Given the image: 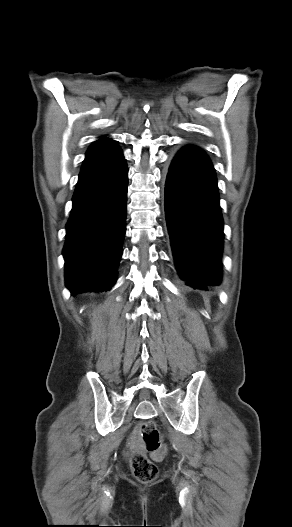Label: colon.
I'll list each match as a JSON object with an SVG mask.
<instances>
[{"label":"colon","instance_id":"1","mask_svg":"<svg viewBox=\"0 0 292 527\" xmlns=\"http://www.w3.org/2000/svg\"><path fill=\"white\" fill-rule=\"evenodd\" d=\"M139 432L146 450L156 451L160 447L159 432L154 423L141 424ZM131 467L135 478L140 482H151L158 476L157 466L142 452L132 456Z\"/></svg>","mask_w":292,"mask_h":527}]
</instances>
